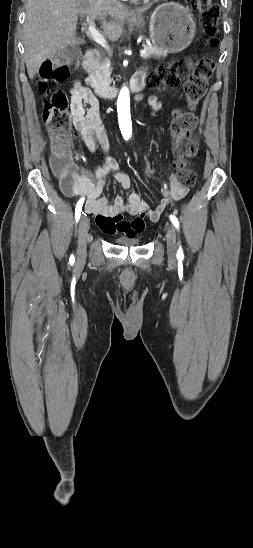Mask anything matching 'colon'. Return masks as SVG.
<instances>
[{
  "mask_svg": "<svg viewBox=\"0 0 253 548\" xmlns=\"http://www.w3.org/2000/svg\"><path fill=\"white\" fill-rule=\"evenodd\" d=\"M200 13L207 41L210 45L217 43L216 33L219 22V11L212 0H186ZM74 51L55 59L44 61L39 70L38 88L44 95L43 122L52 138L51 167L62 182H67L75 172L71 159V138L69 135V102L66 94L58 86L69 76L68 61ZM214 62L209 58L174 59L161 64L148 77V84L155 89L174 88L181 85L186 95L185 109L178 113L171 125L175 139L173 176L184 186H192L196 181L195 172L187 165L186 159L197 151V141L193 130L197 124L196 108L204 98L209 79L212 76ZM146 178L157 175V170L150 162L142 163Z\"/></svg>",
  "mask_w": 253,
  "mask_h": 548,
  "instance_id": "1",
  "label": "colon"
}]
</instances>
